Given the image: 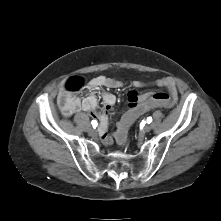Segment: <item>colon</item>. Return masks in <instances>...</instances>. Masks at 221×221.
I'll use <instances>...</instances> for the list:
<instances>
[{
  "mask_svg": "<svg viewBox=\"0 0 221 221\" xmlns=\"http://www.w3.org/2000/svg\"><path fill=\"white\" fill-rule=\"evenodd\" d=\"M84 86V81L80 77H73L66 81L64 91L69 94L80 91ZM68 98L63 96L59 99V107L64 115L67 114ZM171 99L164 93H155L150 99L145 100L138 105H132L125 110L119 118V123L116 125L117 144H125L128 141V131L132 122L138 119V116L147 114L154 108H170Z\"/></svg>",
  "mask_w": 221,
  "mask_h": 221,
  "instance_id": "5ec220e1",
  "label": "colon"
}]
</instances>
